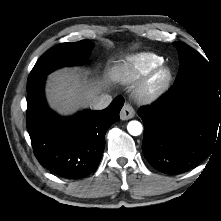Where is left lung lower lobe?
Here are the masks:
<instances>
[{
  "label": "left lung lower lobe",
  "instance_id": "left-lung-lower-lobe-1",
  "mask_svg": "<svg viewBox=\"0 0 221 221\" xmlns=\"http://www.w3.org/2000/svg\"><path fill=\"white\" fill-rule=\"evenodd\" d=\"M138 115L145 127L143 154L165 174L194 168L221 139V93L206 84L174 85L155 103L141 107Z\"/></svg>",
  "mask_w": 221,
  "mask_h": 221
}]
</instances>
